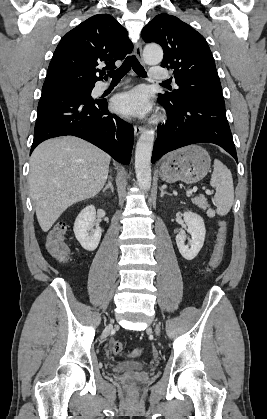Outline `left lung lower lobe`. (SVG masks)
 Segmentation results:
<instances>
[{"instance_id": "left-lung-lower-lobe-1", "label": "left lung lower lobe", "mask_w": 267, "mask_h": 419, "mask_svg": "<svg viewBox=\"0 0 267 419\" xmlns=\"http://www.w3.org/2000/svg\"><path fill=\"white\" fill-rule=\"evenodd\" d=\"M158 102L166 109L168 119L158 126L152 163L169 151L194 143L217 144L237 161L223 96L198 95L174 105Z\"/></svg>"}]
</instances>
